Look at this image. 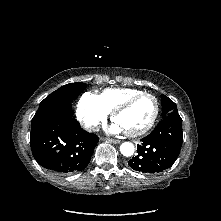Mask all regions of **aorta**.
<instances>
[{"instance_id":"obj_1","label":"aorta","mask_w":221,"mask_h":221,"mask_svg":"<svg viewBox=\"0 0 221 221\" xmlns=\"http://www.w3.org/2000/svg\"><path fill=\"white\" fill-rule=\"evenodd\" d=\"M135 148L134 145L131 142H124L120 146V152L126 156H132L134 154Z\"/></svg>"}]
</instances>
